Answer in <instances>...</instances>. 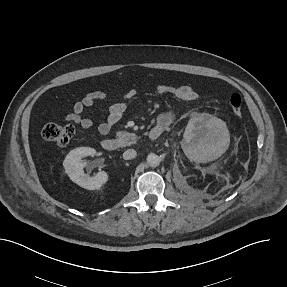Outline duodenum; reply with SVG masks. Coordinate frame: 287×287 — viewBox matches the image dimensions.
<instances>
[{"instance_id": "duodenum-1", "label": "duodenum", "mask_w": 287, "mask_h": 287, "mask_svg": "<svg viewBox=\"0 0 287 287\" xmlns=\"http://www.w3.org/2000/svg\"><path fill=\"white\" fill-rule=\"evenodd\" d=\"M163 132L164 128L162 126L153 127L149 131V137L153 140L158 139ZM101 145L107 151H115L120 147V141L116 138H106Z\"/></svg>"}]
</instances>
